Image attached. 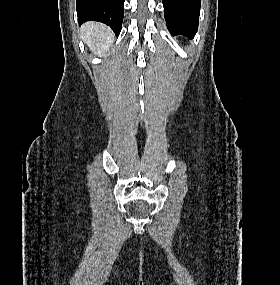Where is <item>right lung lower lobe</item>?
<instances>
[{
    "instance_id": "obj_1",
    "label": "right lung lower lobe",
    "mask_w": 280,
    "mask_h": 285,
    "mask_svg": "<svg viewBox=\"0 0 280 285\" xmlns=\"http://www.w3.org/2000/svg\"><path fill=\"white\" fill-rule=\"evenodd\" d=\"M125 0H76L79 25L99 21L110 26L116 35L121 31Z\"/></svg>"
}]
</instances>
